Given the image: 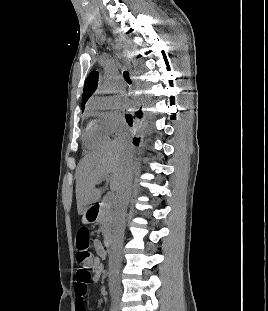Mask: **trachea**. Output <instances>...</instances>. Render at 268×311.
<instances>
[{"instance_id": "trachea-1", "label": "trachea", "mask_w": 268, "mask_h": 311, "mask_svg": "<svg viewBox=\"0 0 268 311\" xmlns=\"http://www.w3.org/2000/svg\"><path fill=\"white\" fill-rule=\"evenodd\" d=\"M123 76L126 82L131 83V79H130L128 71H124Z\"/></svg>"}]
</instances>
